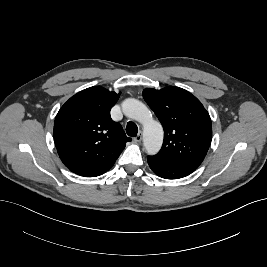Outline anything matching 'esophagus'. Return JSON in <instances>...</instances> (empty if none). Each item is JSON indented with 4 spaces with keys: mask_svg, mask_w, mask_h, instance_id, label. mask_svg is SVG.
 I'll return each mask as SVG.
<instances>
[{
    "mask_svg": "<svg viewBox=\"0 0 267 267\" xmlns=\"http://www.w3.org/2000/svg\"><path fill=\"white\" fill-rule=\"evenodd\" d=\"M141 140H142V134L138 133V135L134 138V141L139 143V142H141Z\"/></svg>",
    "mask_w": 267,
    "mask_h": 267,
    "instance_id": "esophagus-1",
    "label": "esophagus"
}]
</instances>
